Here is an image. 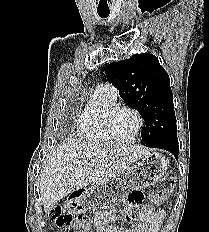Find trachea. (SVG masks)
<instances>
[{
    "label": "trachea",
    "instance_id": "trachea-1",
    "mask_svg": "<svg viewBox=\"0 0 209 232\" xmlns=\"http://www.w3.org/2000/svg\"><path fill=\"white\" fill-rule=\"evenodd\" d=\"M97 13L101 18H107L110 12L109 11H102V12L99 11Z\"/></svg>",
    "mask_w": 209,
    "mask_h": 232
}]
</instances>
